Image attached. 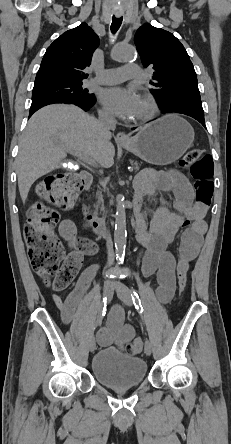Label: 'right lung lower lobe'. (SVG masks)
Wrapping results in <instances>:
<instances>
[{"label": "right lung lower lobe", "mask_w": 231, "mask_h": 444, "mask_svg": "<svg viewBox=\"0 0 231 444\" xmlns=\"http://www.w3.org/2000/svg\"><path fill=\"white\" fill-rule=\"evenodd\" d=\"M94 102H95V101H93V102H91V103H85V104H84V103L73 102V101H57V100H47V101H42V102L34 103V104L31 105L29 117H30L35 111H37L38 109H40L41 107L46 106V105H49V104H54V103L75 104V105L81 107L83 110L87 111V110H89V109L94 105Z\"/></svg>", "instance_id": "1"}]
</instances>
